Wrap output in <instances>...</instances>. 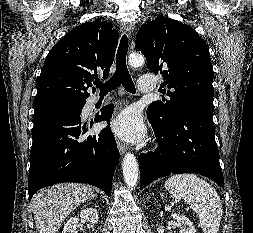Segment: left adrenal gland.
Masks as SVG:
<instances>
[{"instance_id": "obj_1", "label": "left adrenal gland", "mask_w": 253, "mask_h": 233, "mask_svg": "<svg viewBox=\"0 0 253 233\" xmlns=\"http://www.w3.org/2000/svg\"><path fill=\"white\" fill-rule=\"evenodd\" d=\"M161 198H162V199L165 198V197H164V193L161 194Z\"/></svg>"}]
</instances>
